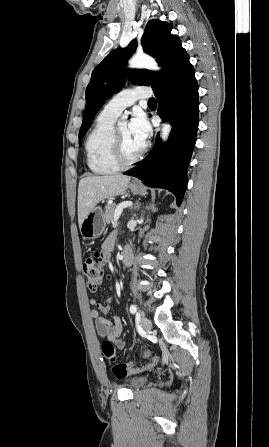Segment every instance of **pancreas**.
I'll list each match as a JSON object with an SVG mask.
<instances>
[{
    "instance_id": "obj_1",
    "label": "pancreas",
    "mask_w": 269,
    "mask_h": 447,
    "mask_svg": "<svg viewBox=\"0 0 269 447\" xmlns=\"http://www.w3.org/2000/svg\"><path fill=\"white\" fill-rule=\"evenodd\" d=\"M105 220L107 224H111L114 220V212L116 210V204H106L105 208Z\"/></svg>"
}]
</instances>
